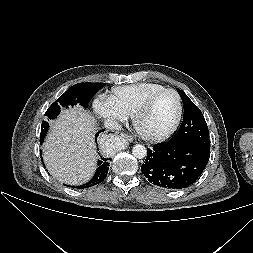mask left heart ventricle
I'll return each mask as SVG.
<instances>
[{"instance_id":"b2bd125f","label":"left heart ventricle","mask_w":253,"mask_h":253,"mask_svg":"<svg viewBox=\"0 0 253 253\" xmlns=\"http://www.w3.org/2000/svg\"><path fill=\"white\" fill-rule=\"evenodd\" d=\"M177 103L172 93H164L141 117L139 128L149 135H157L169 128L176 117Z\"/></svg>"}]
</instances>
